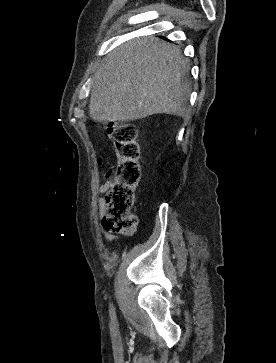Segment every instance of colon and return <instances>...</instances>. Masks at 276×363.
Returning a JSON list of instances; mask_svg holds the SVG:
<instances>
[{
    "label": "colon",
    "instance_id": "1",
    "mask_svg": "<svg viewBox=\"0 0 276 363\" xmlns=\"http://www.w3.org/2000/svg\"><path fill=\"white\" fill-rule=\"evenodd\" d=\"M106 133L115 145L118 164L113 172L114 181L104 198L103 227L108 232L132 235L137 228V218L131 211L141 179L137 128L131 123H111Z\"/></svg>",
    "mask_w": 276,
    "mask_h": 363
}]
</instances>
